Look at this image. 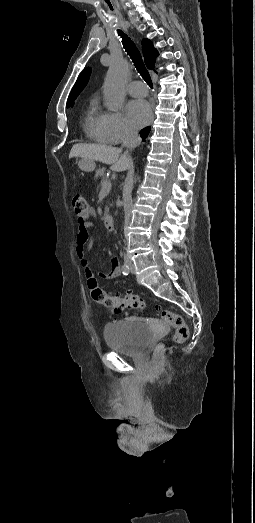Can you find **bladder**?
Listing matches in <instances>:
<instances>
[{
  "label": "bladder",
  "instance_id": "obj_1",
  "mask_svg": "<svg viewBox=\"0 0 255 523\" xmlns=\"http://www.w3.org/2000/svg\"><path fill=\"white\" fill-rule=\"evenodd\" d=\"M103 332L106 346L125 354L140 353L153 335L147 324L136 319L107 324Z\"/></svg>",
  "mask_w": 255,
  "mask_h": 523
}]
</instances>
